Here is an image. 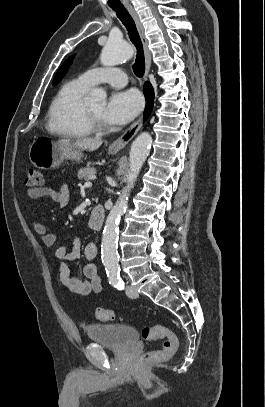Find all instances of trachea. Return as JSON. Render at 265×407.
<instances>
[{"label":"trachea","instance_id":"trachea-1","mask_svg":"<svg viewBox=\"0 0 265 407\" xmlns=\"http://www.w3.org/2000/svg\"><path fill=\"white\" fill-rule=\"evenodd\" d=\"M112 9L116 12L117 17L122 21V23L126 27L129 38L137 49V55L135 64L133 66V71L137 77H142L145 70L144 51L135 22L124 7H112Z\"/></svg>","mask_w":265,"mask_h":407}]
</instances>
